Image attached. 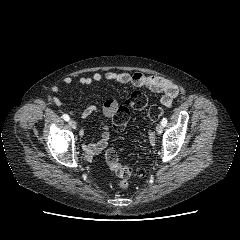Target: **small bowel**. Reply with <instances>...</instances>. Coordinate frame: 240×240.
I'll return each instance as SVG.
<instances>
[{
	"instance_id": "c3829d8e",
	"label": "small bowel",
	"mask_w": 240,
	"mask_h": 240,
	"mask_svg": "<svg viewBox=\"0 0 240 240\" xmlns=\"http://www.w3.org/2000/svg\"><path fill=\"white\" fill-rule=\"evenodd\" d=\"M111 81L119 84H131L135 87L147 88L153 92L161 94V103L167 107H172L174 100L179 95V88L173 82L152 74H144L141 72H114L107 71L105 73H94L92 76H82L79 78L81 85L90 86L93 84L101 83L103 81ZM64 84L69 86L72 84L73 79L71 77H65L63 80ZM59 90L55 88L53 90V102L57 106H61V100L57 96ZM119 107V102L115 97L107 99L102 106V112L107 118H112ZM97 113L95 106H89L85 108L80 114L81 119H85L90 116H94ZM70 114L75 116L73 111ZM83 131H81V136ZM110 139L109 127L104 125L102 137L93 142H85L82 145L83 150L88 156H93L100 153L108 144Z\"/></svg>"
}]
</instances>
